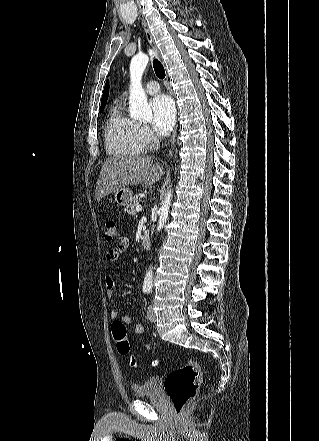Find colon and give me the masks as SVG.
Wrapping results in <instances>:
<instances>
[{
	"label": "colon",
	"instance_id": "colon-1",
	"mask_svg": "<svg viewBox=\"0 0 319 441\" xmlns=\"http://www.w3.org/2000/svg\"><path fill=\"white\" fill-rule=\"evenodd\" d=\"M119 237V229L114 220H108L104 226V238L112 241ZM113 339L116 343L118 352L121 355H128L130 352V344L127 337V328L125 322L116 319L111 325ZM129 364L136 366L133 357L129 358ZM158 365V360L153 361V366ZM201 369L198 362L193 359H186L182 367L172 370L164 380V388L169 397L175 414L183 417L185 414L186 404L195 395L199 381Z\"/></svg>",
	"mask_w": 319,
	"mask_h": 441
}]
</instances>
